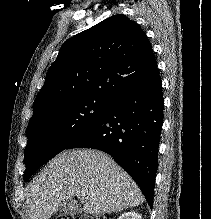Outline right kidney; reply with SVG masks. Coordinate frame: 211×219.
<instances>
[{
    "label": "right kidney",
    "instance_id": "ca27d5eb",
    "mask_svg": "<svg viewBox=\"0 0 211 219\" xmlns=\"http://www.w3.org/2000/svg\"><path fill=\"white\" fill-rule=\"evenodd\" d=\"M118 219H142V217L137 212L130 211L123 213Z\"/></svg>",
    "mask_w": 211,
    "mask_h": 219
}]
</instances>
